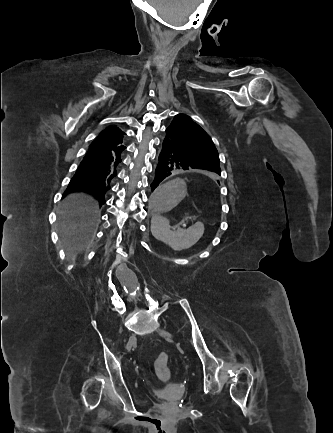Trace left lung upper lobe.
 Wrapping results in <instances>:
<instances>
[{
	"label": "left lung upper lobe",
	"mask_w": 333,
	"mask_h": 433,
	"mask_svg": "<svg viewBox=\"0 0 333 433\" xmlns=\"http://www.w3.org/2000/svg\"><path fill=\"white\" fill-rule=\"evenodd\" d=\"M174 150L221 174L219 155L211 138L192 119L178 114L166 129V137Z\"/></svg>",
	"instance_id": "5c2ea615"
}]
</instances>
